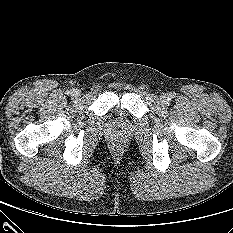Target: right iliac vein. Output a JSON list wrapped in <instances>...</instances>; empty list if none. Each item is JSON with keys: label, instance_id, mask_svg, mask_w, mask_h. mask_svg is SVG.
Listing matches in <instances>:
<instances>
[{"label": "right iliac vein", "instance_id": "right-iliac-vein-1", "mask_svg": "<svg viewBox=\"0 0 233 233\" xmlns=\"http://www.w3.org/2000/svg\"><path fill=\"white\" fill-rule=\"evenodd\" d=\"M72 96H73L74 98H79V97L81 96V91L78 90V89H74V90L72 91Z\"/></svg>", "mask_w": 233, "mask_h": 233}]
</instances>
